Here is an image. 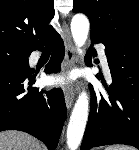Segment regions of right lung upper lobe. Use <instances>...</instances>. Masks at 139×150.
I'll use <instances>...</instances> for the list:
<instances>
[{
  "label": "right lung upper lobe",
  "instance_id": "cb5924a9",
  "mask_svg": "<svg viewBox=\"0 0 139 150\" xmlns=\"http://www.w3.org/2000/svg\"><path fill=\"white\" fill-rule=\"evenodd\" d=\"M54 0H0V45L30 52L55 32Z\"/></svg>",
  "mask_w": 139,
  "mask_h": 150
}]
</instances>
